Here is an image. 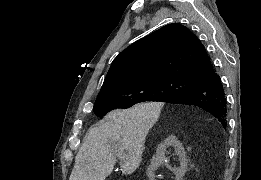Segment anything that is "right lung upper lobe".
<instances>
[{
    "label": "right lung upper lobe",
    "instance_id": "right-lung-upper-lobe-1",
    "mask_svg": "<svg viewBox=\"0 0 261 180\" xmlns=\"http://www.w3.org/2000/svg\"><path fill=\"white\" fill-rule=\"evenodd\" d=\"M213 70L206 49L197 37L183 25L168 24L118 54L98 96L161 80L197 83Z\"/></svg>",
    "mask_w": 261,
    "mask_h": 180
}]
</instances>
